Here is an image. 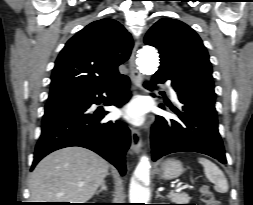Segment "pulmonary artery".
I'll list each match as a JSON object with an SVG mask.
<instances>
[{
	"mask_svg": "<svg viewBox=\"0 0 253 205\" xmlns=\"http://www.w3.org/2000/svg\"><path fill=\"white\" fill-rule=\"evenodd\" d=\"M168 87H169V90H170V95H171V98L176 101L177 100V94L175 92V90L170 86V84H167Z\"/></svg>",
	"mask_w": 253,
	"mask_h": 205,
	"instance_id": "pulmonary-artery-1",
	"label": "pulmonary artery"
}]
</instances>
